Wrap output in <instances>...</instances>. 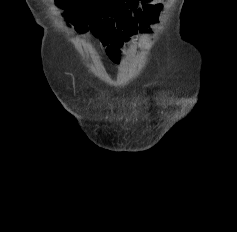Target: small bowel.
I'll return each mask as SVG.
<instances>
[{
	"mask_svg": "<svg viewBox=\"0 0 237 232\" xmlns=\"http://www.w3.org/2000/svg\"><path fill=\"white\" fill-rule=\"evenodd\" d=\"M162 7L161 0H145L134 10L122 16L107 19L100 30L93 31L111 61L114 63L121 61L123 49L128 47L136 35L153 32Z\"/></svg>",
	"mask_w": 237,
	"mask_h": 232,
	"instance_id": "obj_1",
	"label": "small bowel"
}]
</instances>
